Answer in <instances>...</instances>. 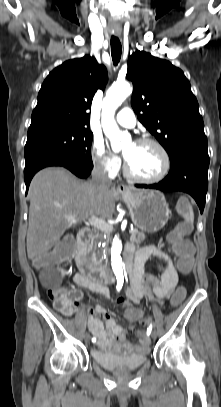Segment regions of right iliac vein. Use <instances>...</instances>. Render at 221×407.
Listing matches in <instances>:
<instances>
[{
    "label": "right iliac vein",
    "mask_w": 221,
    "mask_h": 407,
    "mask_svg": "<svg viewBox=\"0 0 221 407\" xmlns=\"http://www.w3.org/2000/svg\"><path fill=\"white\" fill-rule=\"evenodd\" d=\"M84 340L85 342H89L90 340V336L87 333L84 335Z\"/></svg>",
    "instance_id": "obj_1"
}]
</instances>
